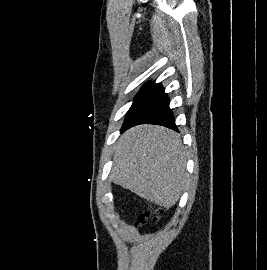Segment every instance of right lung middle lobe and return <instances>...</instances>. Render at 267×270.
<instances>
[{
	"label": "right lung middle lobe",
	"instance_id": "1",
	"mask_svg": "<svg viewBox=\"0 0 267 270\" xmlns=\"http://www.w3.org/2000/svg\"><path fill=\"white\" fill-rule=\"evenodd\" d=\"M151 85L150 82H148L147 84H145L139 91V93L137 94V96L134 99V102L132 104V106L137 102V100L146 92V90L149 88V86Z\"/></svg>",
	"mask_w": 267,
	"mask_h": 270
}]
</instances>
